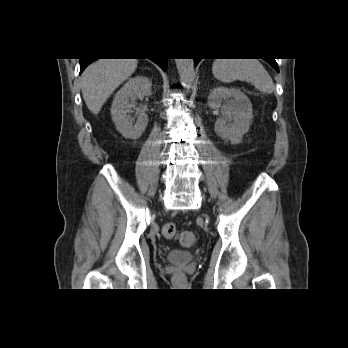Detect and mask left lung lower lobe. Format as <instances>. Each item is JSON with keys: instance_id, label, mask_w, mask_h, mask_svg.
Instances as JSON below:
<instances>
[{"instance_id": "left-lung-lower-lobe-1", "label": "left lung lower lobe", "mask_w": 348, "mask_h": 348, "mask_svg": "<svg viewBox=\"0 0 348 348\" xmlns=\"http://www.w3.org/2000/svg\"><path fill=\"white\" fill-rule=\"evenodd\" d=\"M200 61V59L196 58L194 59V65L196 66L198 64V62ZM269 64H271L276 71L279 72V69H278V66H277V63L275 61V59H271V60H266Z\"/></svg>"}]
</instances>
